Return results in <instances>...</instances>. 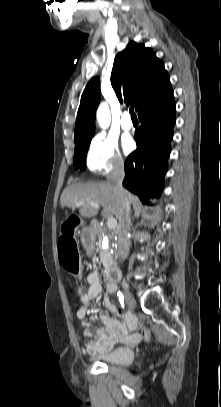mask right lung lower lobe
Masks as SVG:
<instances>
[{"label":"right lung lower lobe","mask_w":221,"mask_h":407,"mask_svg":"<svg viewBox=\"0 0 221 407\" xmlns=\"http://www.w3.org/2000/svg\"><path fill=\"white\" fill-rule=\"evenodd\" d=\"M141 126L135 131L137 149L125 161L123 186L145 202L163 188L170 142L175 124L172 87L138 111Z\"/></svg>","instance_id":"right-lung-lower-lobe-1"}]
</instances>
